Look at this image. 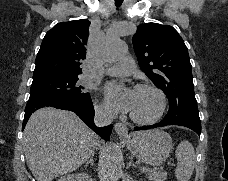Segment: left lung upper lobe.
Returning a JSON list of instances; mask_svg holds the SVG:
<instances>
[{"mask_svg": "<svg viewBox=\"0 0 228 181\" xmlns=\"http://www.w3.org/2000/svg\"><path fill=\"white\" fill-rule=\"evenodd\" d=\"M133 45L143 72L169 100L162 120L173 125L201 126L187 47L169 25L146 23L137 27Z\"/></svg>", "mask_w": 228, "mask_h": 181, "instance_id": "left-lung-upper-lobe-1", "label": "left lung upper lobe"}]
</instances>
